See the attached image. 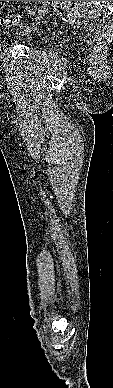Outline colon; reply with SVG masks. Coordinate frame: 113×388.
Returning <instances> with one entry per match:
<instances>
[{
    "label": "colon",
    "instance_id": "obj_1",
    "mask_svg": "<svg viewBox=\"0 0 113 388\" xmlns=\"http://www.w3.org/2000/svg\"><path fill=\"white\" fill-rule=\"evenodd\" d=\"M1 8H2V5L0 3V10ZM21 21H22V17L19 14L9 13L4 16L0 15V24L2 25L12 26V25L20 24Z\"/></svg>",
    "mask_w": 113,
    "mask_h": 388
}]
</instances>
